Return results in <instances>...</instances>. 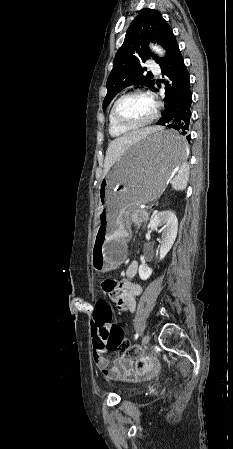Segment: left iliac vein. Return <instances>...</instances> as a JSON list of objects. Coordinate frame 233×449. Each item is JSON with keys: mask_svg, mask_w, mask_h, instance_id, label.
<instances>
[{"mask_svg": "<svg viewBox=\"0 0 233 449\" xmlns=\"http://www.w3.org/2000/svg\"><path fill=\"white\" fill-rule=\"evenodd\" d=\"M150 339H151V335L149 333L145 334V336L142 339V345L144 348L148 345Z\"/></svg>", "mask_w": 233, "mask_h": 449, "instance_id": "4c4485c4", "label": "left iliac vein"}]
</instances>
